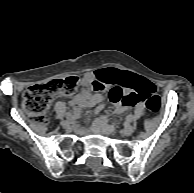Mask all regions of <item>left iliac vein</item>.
I'll list each match as a JSON object with an SVG mask.
<instances>
[{
    "mask_svg": "<svg viewBox=\"0 0 194 193\" xmlns=\"http://www.w3.org/2000/svg\"><path fill=\"white\" fill-rule=\"evenodd\" d=\"M135 131V127L133 125H128L122 130V134L125 136L132 135Z\"/></svg>",
    "mask_w": 194,
    "mask_h": 193,
    "instance_id": "1",
    "label": "left iliac vein"
}]
</instances>
